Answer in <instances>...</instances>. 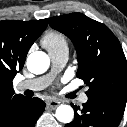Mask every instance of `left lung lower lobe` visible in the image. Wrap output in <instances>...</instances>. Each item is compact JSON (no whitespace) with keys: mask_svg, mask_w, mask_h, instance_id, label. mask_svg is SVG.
Returning a JSON list of instances; mask_svg holds the SVG:
<instances>
[{"mask_svg":"<svg viewBox=\"0 0 127 127\" xmlns=\"http://www.w3.org/2000/svg\"><path fill=\"white\" fill-rule=\"evenodd\" d=\"M72 107L75 109L74 120L65 127H118L125 110V104L101 99H88L81 114L77 113L79 107Z\"/></svg>","mask_w":127,"mask_h":127,"instance_id":"0a47b994","label":"left lung lower lobe"}]
</instances>
